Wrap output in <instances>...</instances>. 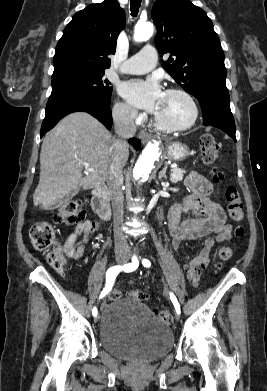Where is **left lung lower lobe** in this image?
<instances>
[{"label":"left lung lower lobe","instance_id":"obj_1","mask_svg":"<svg viewBox=\"0 0 267 391\" xmlns=\"http://www.w3.org/2000/svg\"><path fill=\"white\" fill-rule=\"evenodd\" d=\"M229 94L211 93L198 98L205 126L223 130L235 141V123L230 110Z\"/></svg>","mask_w":267,"mask_h":391}]
</instances>
